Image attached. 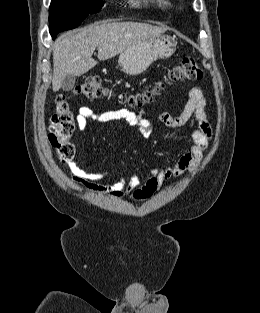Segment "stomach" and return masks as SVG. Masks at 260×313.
Listing matches in <instances>:
<instances>
[{
  "instance_id": "obj_1",
  "label": "stomach",
  "mask_w": 260,
  "mask_h": 313,
  "mask_svg": "<svg viewBox=\"0 0 260 313\" xmlns=\"http://www.w3.org/2000/svg\"><path fill=\"white\" fill-rule=\"evenodd\" d=\"M177 42L169 35L160 34L139 42L120 53L119 65L128 75H139L155 60L172 56Z\"/></svg>"
}]
</instances>
